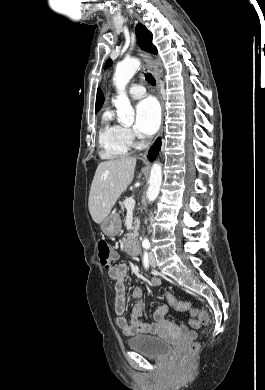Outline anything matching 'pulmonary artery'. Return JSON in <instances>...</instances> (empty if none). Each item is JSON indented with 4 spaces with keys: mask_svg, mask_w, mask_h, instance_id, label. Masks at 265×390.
<instances>
[{
    "mask_svg": "<svg viewBox=\"0 0 265 390\" xmlns=\"http://www.w3.org/2000/svg\"><path fill=\"white\" fill-rule=\"evenodd\" d=\"M146 94V89L140 84H133L129 88V95L134 99H139L144 97Z\"/></svg>",
    "mask_w": 265,
    "mask_h": 390,
    "instance_id": "1",
    "label": "pulmonary artery"
}]
</instances>
